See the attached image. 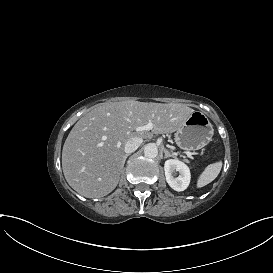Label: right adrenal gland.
Segmentation results:
<instances>
[{
    "instance_id": "right-adrenal-gland-1",
    "label": "right adrenal gland",
    "mask_w": 273,
    "mask_h": 273,
    "mask_svg": "<svg viewBox=\"0 0 273 273\" xmlns=\"http://www.w3.org/2000/svg\"><path fill=\"white\" fill-rule=\"evenodd\" d=\"M130 155V153H127L124 155V162L126 161V158Z\"/></svg>"
}]
</instances>
